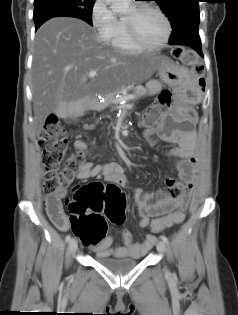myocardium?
<instances>
[{"label":"myocardium","mask_w":238,"mask_h":315,"mask_svg":"<svg viewBox=\"0 0 238 315\" xmlns=\"http://www.w3.org/2000/svg\"><path fill=\"white\" fill-rule=\"evenodd\" d=\"M145 11H153L155 13H157L162 20L165 23L166 26V34L164 39L159 42L158 44L155 45H150L145 43L144 41L141 40V38L139 37V34L137 32V28H136V18L143 12ZM125 21H126V26H127V32H128V36L130 41L139 49L141 50H148V51H152V50H158L161 49L162 47H164L170 40L171 34H172V25L171 22L169 20V18L167 17V15L157 6L154 5H150V4H140V5H136L133 7V12L130 16H126L125 17Z\"/></svg>","instance_id":"f54148a6"}]
</instances>
